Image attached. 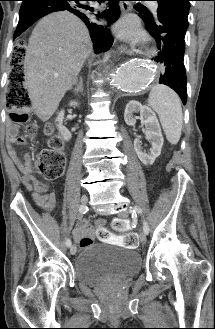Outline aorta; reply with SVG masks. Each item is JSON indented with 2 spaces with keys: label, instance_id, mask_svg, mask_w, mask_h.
Instances as JSON below:
<instances>
[{
  "label": "aorta",
  "instance_id": "762f6f07",
  "mask_svg": "<svg viewBox=\"0 0 215 329\" xmlns=\"http://www.w3.org/2000/svg\"><path fill=\"white\" fill-rule=\"evenodd\" d=\"M153 77V68L141 61L117 62L108 75L110 84L123 92L141 91Z\"/></svg>",
  "mask_w": 215,
  "mask_h": 329
}]
</instances>
